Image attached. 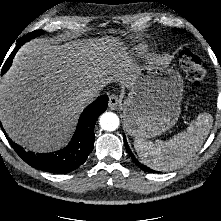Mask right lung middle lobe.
Here are the masks:
<instances>
[{"label": "right lung middle lobe", "mask_w": 221, "mask_h": 221, "mask_svg": "<svg viewBox=\"0 0 221 221\" xmlns=\"http://www.w3.org/2000/svg\"><path fill=\"white\" fill-rule=\"evenodd\" d=\"M42 33H43V31H35V32H32L29 36H30V38H33L37 35H41Z\"/></svg>", "instance_id": "dd1d6c3e"}]
</instances>
